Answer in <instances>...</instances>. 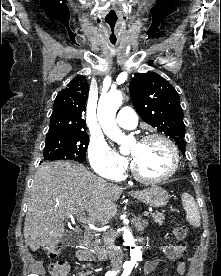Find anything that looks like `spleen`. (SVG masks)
Instances as JSON below:
<instances>
[{"instance_id":"3e777b00","label":"spleen","mask_w":221,"mask_h":276,"mask_svg":"<svg viewBox=\"0 0 221 276\" xmlns=\"http://www.w3.org/2000/svg\"><path fill=\"white\" fill-rule=\"evenodd\" d=\"M182 204L186 211L187 222L192 226L199 227L201 225V216L194 198L189 193H183Z\"/></svg>"}]
</instances>
